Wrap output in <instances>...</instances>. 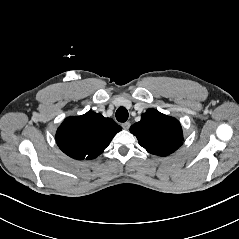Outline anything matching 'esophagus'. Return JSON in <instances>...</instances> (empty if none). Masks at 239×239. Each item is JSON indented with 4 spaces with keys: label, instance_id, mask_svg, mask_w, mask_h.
Wrapping results in <instances>:
<instances>
[{
    "label": "esophagus",
    "instance_id": "obj_1",
    "mask_svg": "<svg viewBox=\"0 0 239 239\" xmlns=\"http://www.w3.org/2000/svg\"><path fill=\"white\" fill-rule=\"evenodd\" d=\"M130 125H131V124H130L129 121L122 123L123 129H126V130H128V129L130 128Z\"/></svg>",
    "mask_w": 239,
    "mask_h": 239
}]
</instances>
